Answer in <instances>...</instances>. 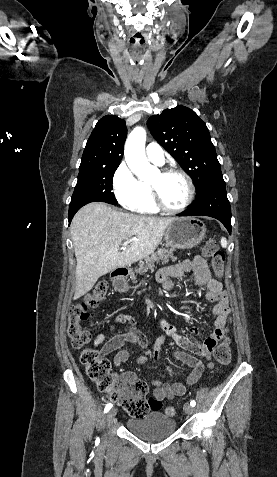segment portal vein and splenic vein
Segmentation results:
<instances>
[{
    "instance_id": "obj_1",
    "label": "portal vein and splenic vein",
    "mask_w": 277,
    "mask_h": 477,
    "mask_svg": "<svg viewBox=\"0 0 277 477\" xmlns=\"http://www.w3.org/2000/svg\"><path fill=\"white\" fill-rule=\"evenodd\" d=\"M133 240H136V239H133ZM130 242H131V240L125 241V242L122 244V247H123V248H126V247L129 245Z\"/></svg>"
}]
</instances>
